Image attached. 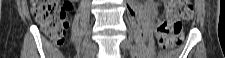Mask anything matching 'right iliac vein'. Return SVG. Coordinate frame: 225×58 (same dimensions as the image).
<instances>
[{
  "label": "right iliac vein",
  "instance_id": "obj_1",
  "mask_svg": "<svg viewBox=\"0 0 225 58\" xmlns=\"http://www.w3.org/2000/svg\"><path fill=\"white\" fill-rule=\"evenodd\" d=\"M96 50H97V46L95 43H91L88 47H87V50L84 54V57L85 58H93V56L95 55L96 53Z\"/></svg>",
  "mask_w": 225,
  "mask_h": 58
}]
</instances>
